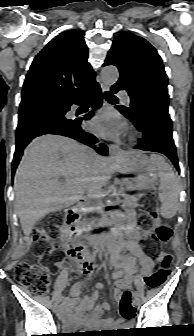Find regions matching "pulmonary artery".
<instances>
[{
	"label": "pulmonary artery",
	"instance_id": "obj_1",
	"mask_svg": "<svg viewBox=\"0 0 194 336\" xmlns=\"http://www.w3.org/2000/svg\"><path fill=\"white\" fill-rule=\"evenodd\" d=\"M118 96L121 97L122 101L126 104H129L130 103V98L129 96H127L124 92L122 91H119L118 93Z\"/></svg>",
	"mask_w": 194,
	"mask_h": 336
}]
</instances>
